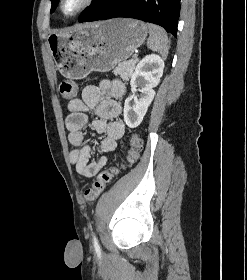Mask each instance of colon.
<instances>
[{"label": "colon", "mask_w": 247, "mask_h": 280, "mask_svg": "<svg viewBox=\"0 0 247 280\" xmlns=\"http://www.w3.org/2000/svg\"><path fill=\"white\" fill-rule=\"evenodd\" d=\"M59 89L62 97L66 100H72L77 94V86L75 82L69 79L63 80L60 83ZM141 147V138L136 134L132 135L126 161L119 166L111 167L98 173L91 188L85 191V197L90 200L98 197L105 190L113 177L120 172V170L132 165L137 160Z\"/></svg>", "instance_id": "obj_1"}]
</instances>
